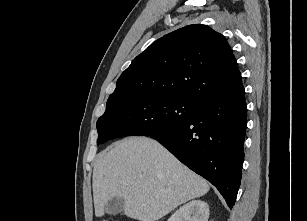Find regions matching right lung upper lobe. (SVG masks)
I'll list each match as a JSON object with an SVG mask.
<instances>
[{
  "mask_svg": "<svg viewBox=\"0 0 307 221\" xmlns=\"http://www.w3.org/2000/svg\"><path fill=\"white\" fill-rule=\"evenodd\" d=\"M244 89L232 50L220 33L189 25L153 42L117 80L107 104L138 95H165L197 104Z\"/></svg>",
  "mask_w": 307,
  "mask_h": 221,
  "instance_id": "right-lung-upper-lobe-1",
  "label": "right lung upper lobe"
}]
</instances>
